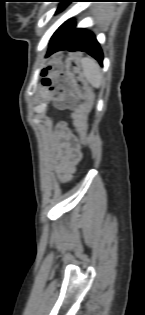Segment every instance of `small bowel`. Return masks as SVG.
Instances as JSON below:
<instances>
[{
	"label": "small bowel",
	"instance_id": "obj_1",
	"mask_svg": "<svg viewBox=\"0 0 145 315\" xmlns=\"http://www.w3.org/2000/svg\"><path fill=\"white\" fill-rule=\"evenodd\" d=\"M59 163L57 172L61 179L68 180L82 158L78 140L67 125H59L56 132Z\"/></svg>",
	"mask_w": 145,
	"mask_h": 315
}]
</instances>
